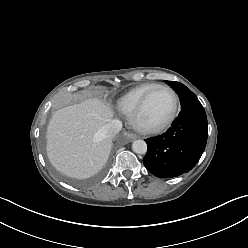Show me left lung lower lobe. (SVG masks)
<instances>
[{
    "label": "left lung lower lobe",
    "mask_w": 248,
    "mask_h": 248,
    "mask_svg": "<svg viewBox=\"0 0 248 248\" xmlns=\"http://www.w3.org/2000/svg\"><path fill=\"white\" fill-rule=\"evenodd\" d=\"M207 135V117L201 103L182 108L166 133L145 140L148 150L144 166L159 178L187 173L199 161Z\"/></svg>",
    "instance_id": "obj_1"
}]
</instances>
